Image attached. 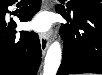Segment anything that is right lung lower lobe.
<instances>
[{"label": "right lung lower lobe", "mask_w": 102, "mask_h": 75, "mask_svg": "<svg viewBox=\"0 0 102 75\" xmlns=\"http://www.w3.org/2000/svg\"><path fill=\"white\" fill-rule=\"evenodd\" d=\"M15 0H0V74L36 75L41 62V47L38 35L32 32L13 31L17 24L5 21L7 7ZM41 0H24L19 19L30 21L38 12Z\"/></svg>", "instance_id": "98d812e1"}]
</instances>
